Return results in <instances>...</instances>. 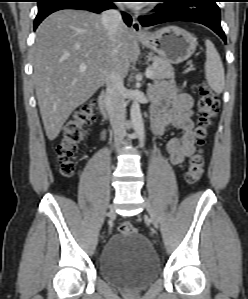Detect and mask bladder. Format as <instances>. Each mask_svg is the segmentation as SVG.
<instances>
[{
	"label": "bladder",
	"instance_id": "1",
	"mask_svg": "<svg viewBox=\"0 0 248 299\" xmlns=\"http://www.w3.org/2000/svg\"><path fill=\"white\" fill-rule=\"evenodd\" d=\"M102 278L129 291L146 288L160 272L157 254L141 233L115 234L104 245L99 258Z\"/></svg>",
	"mask_w": 248,
	"mask_h": 299
}]
</instances>
